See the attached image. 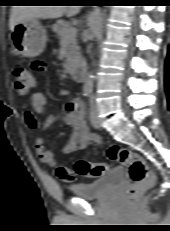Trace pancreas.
<instances>
[{
  "mask_svg": "<svg viewBox=\"0 0 170 231\" xmlns=\"http://www.w3.org/2000/svg\"><path fill=\"white\" fill-rule=\"evenodd\" d=\"M70 28H72V24L64 20H58L52 26L53 32H55L59 36L61 41L64 40V34ZM67 41H68V53H67L65 67L70 66L72 61L76 60L80 55L79 53L80 48L77 43L76 35L70 37Z\"/></svg>",
  "mask_w": 170,
  "mask_h": 231,
  "instance_id": "1",
  "label": "pancreas"
}]
</instances>
